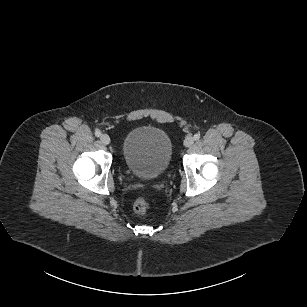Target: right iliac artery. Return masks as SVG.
Here are the masks:
<instances>
[{"label":"right iliac artery","instance_id":"1","mask_svg":"<svg viewBox=\"0 0 307 307\" xmlns=\"http://www.w3.org/2000/svg\"><path fill=\"white\" fill-rule=\"evenodd\" d=\"M95 136L97 137L101 136V132L99 130H95Z\"/></svg>","mask_w":307,"mask_h":307}]
</instances>
